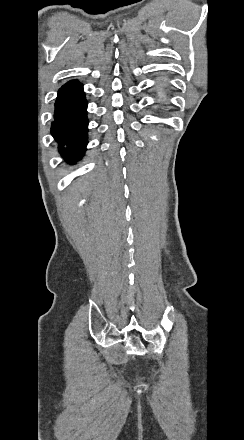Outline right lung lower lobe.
Masks as SVG:
<instances>
[{"mask_svg": "<svg viewBox=\"0 0 244 440\" xmlns=\"http://www.w3.org/2000/svg\"><path fill=\"white\" fill-rule=\"evenodd\" d=\"M55 105L52 134L64 158L76 161L83 156L87 144V102L82 85L77 81L65 84L59 90Z\"/></svg>", "mask_w": 244, "mask_h": 440, "instance_id": "1", "label": "right lung lower lobe"}]
</instances>
